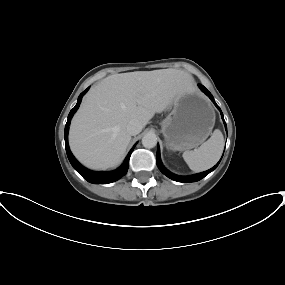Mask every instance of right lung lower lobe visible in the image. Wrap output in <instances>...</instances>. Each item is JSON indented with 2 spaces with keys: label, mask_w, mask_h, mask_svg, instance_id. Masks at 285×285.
<instances>
[{
  "label": "right lung lower lobe",
  "mask_w": 285,
  "mask_h": 285,
  "mask_svg": "<svg viewBox=\"0 0 285 285\" xmlns=\"http://www.w3.org/2000/svg\"><path fill=\"white\" fill-rule=\"evenodd\" d=\"M89 88H87L85 91H83L79 97H78V102L75 105V107L70 111L68 115V120L65 126V132H64V138H65V148H66V153L68 156V159L71 163V165L74 167V169L82 175L83 178H85L88 182L90 183H95V184H107L114 182L120 178H122L124 175H126L127 170L129 168V159L131 156V153L134 149V147L131 149L129 154L127 155L126 159L124 160V163L121 165L120 168L114 171L110 172H94L91 170H88L87 168L83 167L72 155L69 145H68V130H69V125H70V120L73 116V114L76 112L78 109L83 95L87 92Z\"/></svg>",
  "instance_id": "98d812e1"
}]
</instances>
